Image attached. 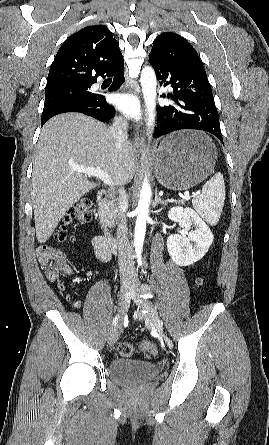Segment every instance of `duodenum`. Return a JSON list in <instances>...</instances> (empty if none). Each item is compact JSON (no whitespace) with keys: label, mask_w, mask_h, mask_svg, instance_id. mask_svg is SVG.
<instances>
[{"label":"duodenum","mask_w":269,"mask_h":445,"mask_svg":"<svg viewBox=\"0 0 269 445\" xmlns=\"http://www.w3.org/2000/svg\"><path fill=\"white\" fill-rule=\"evenodd\" d=\"M109 197H110V194L106 190H99L97 192L96 201H97V205L99 208L98 222H99V225L104 233V240H105L107 248L111 252L115 253L118 251V242L115 239V237L111 234L108 224H107L106 219L103 214L104 207L107 204Z\"/></svg>","instance_id":"duodenum-1"}]
</instances>
